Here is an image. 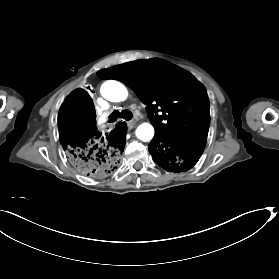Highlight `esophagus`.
Instances as JSON below:
<instances>
[{
  "instance_id": "1",
  "label": "esophagus",
  "mask_w": 279,
  "mask_h": 279,
  "mask_svg": "<svg viewBox=\"0 0 279 279\" xmlns=\"http://www.w3.org/2000/svg\"><path fill=\"white\" fill-rule=\"evenodd\" d=\"M135 125H136L135 121H128L127 122L128 130H131Z\"/></svg>"
}]
</instances>
